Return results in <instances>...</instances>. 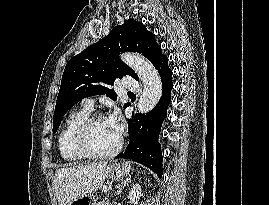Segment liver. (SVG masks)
Segmentation results:
<instances>
[{
  "label": "liver",
  "instance_id": "6515ba94",
  "mask_svg": "<svg viewBox=\"0 0 269 205\" xmlns=\"http://www.w3.org/2000/svg\"><path fill=\"white\" fill-rule=\"evenodd\" d=\"M107 162L58 169L54 177L55 194L59 205H70L84 195H91L106 177Z\"/></svg>",
  "mask_w": 269,
  "mask_h": 205
}]
</instances>
